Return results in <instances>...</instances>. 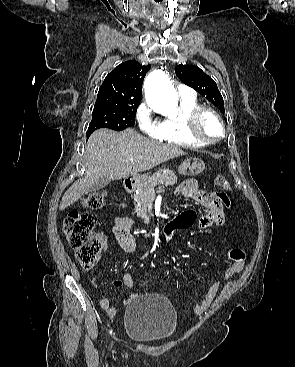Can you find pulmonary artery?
<instances>
[{
    "mask_svg": "<svg viewBox=\"0 0 295 367\" xmlns=\"http://www.w3.org/2000/svg\"><path fill=\"white\" fill-rule=\"evenodd\" d=\"M178 94L181 99H193L195 98V91L185 85L178 86Z\"/></svg>",
    "mask_w": 295,
    "mask_h": 367,
    "instance_id": "pulmonary-artery-1",
    "label": "pulmonary artery"
}]
</instances>
